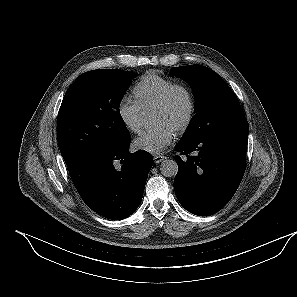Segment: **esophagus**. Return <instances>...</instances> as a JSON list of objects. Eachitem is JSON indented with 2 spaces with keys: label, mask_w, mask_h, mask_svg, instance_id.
<instances>
[{
  "label": "esophagus",
  "mask_w": 297,
  "mask_h": 297,
  "mask_svg": "<svg viewBox=\"0 0 297 297\" xmlns=\"http://www.w3.org/2000/svg\"><path fill=\"white\" fill-rule=\"evenodd\" d=\"M165 159H166V156H164V155H155L153 157L154 162L157 163V164L162 162Z\"/></svg>",
  "instance_id": "1"
}]
</instances>
